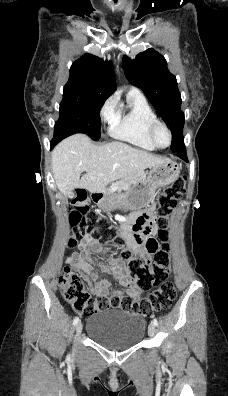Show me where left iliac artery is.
Instances as JSON below:
<instances>
[{
	"label": "left iliac artery",
	"mask_w": 228,
	"mask_h": 396,
	"mask_svg": "<svg viewBox=\"0 0 228 396\" xmlns=\"http://www.w3.org/2000/svg\"><path fill=\"white\" fill-rule=\"evenodd\" d=\"M152 322L154 323L155 326H158V321L156 318H154Z\"/></svg>",
	"instance_id": "left-iliac-artery-1"
}]
</instances>
